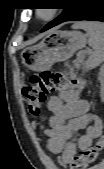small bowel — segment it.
I'll list each match as a JSON object with an SVG mask.
<instances>
[{
	"label": "small bowel",
	"mask_w": 104,
	"mask_h": 169,
	"mask_svg": "<svg viewBox=\"0 0 104 169\" xmlns=\"http://www.w3.org/2000/svg\"><path fill=\"white\" fill-rule=\"evenodd\" d=\"M51 115L43 131L48 148L69 163L79 150L88 148L102 132L100 119L89 112V103L75 90H63L48 100Z\"/></svg>",
	"instance_id": "obj_1"
}]
</instances>
